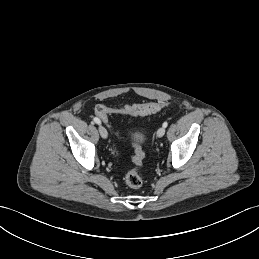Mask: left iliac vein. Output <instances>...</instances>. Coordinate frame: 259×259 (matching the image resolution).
I'll return each mask as SVG.
<instances>
[{
  "mask_svg": "<svg viewBox=\"0 0 259 259\" xmlns=\"http://www.w3.org/2000/svg\"><path fill=\"white\" fill-rule=\"evenodd\" d=\"M164 134H165V128H164V127H160V128L158 129V131H157V136H158L159 138H161V137L164 136Z\"/></svg>",
  "mask_w": 259,
  "mask_h": 259,
  "instance_id": "1",
  "label": "left iliac vein"
}]
</instances>
